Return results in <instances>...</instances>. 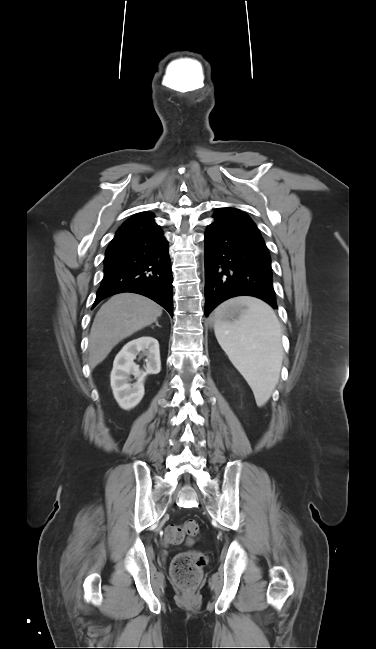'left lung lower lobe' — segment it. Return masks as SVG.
I'll list each match as a JSON object with an SVG mask.
<instances>
[{
	"mask_svg": "<svg viewBox=\"0 0 376 649\" xmlns=\"http://www.w3.org/2000/svg\"><path fill=\"white\" fill-rule=\"evenodd\" d=\"M205 316L235 296H254L277 308L271 258L259 233L244 222L215 216L205 232Z\"/></svg>",
	"mask_w": 376,
	"mask_h": 649,
	"instance_id": "0a47b994",
	"label": "left lung lower lobe"
}]
</instances>
